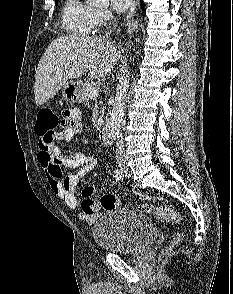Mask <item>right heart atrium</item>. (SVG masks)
<instances>
[{
    "label": "right heart atrium",
    "instance_id": "right-heart-atrium-1",
    "mask_svg": "<svg viewBox=\"0 0 233 294\" xmlns=\"http://www.w3.org/2000/svg\"><path fill=\"white\" fill-rule=\"evenodd\" d=\"M95 26L100 27L112 20V12L108 9H94Z\"/></svg>",
    "mask_w": 233,
    "mask_h": 294
}]
</instances>
